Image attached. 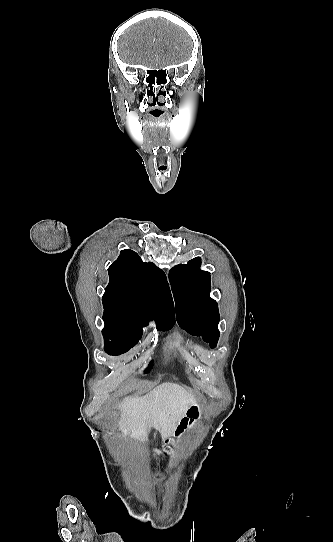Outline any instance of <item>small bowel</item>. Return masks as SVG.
<instances>
[{"instance_id": "small-bowel-1", "label": "small bowel", "mask_w": 333, "mask_h": 542, "mask_svg": "<svg viewBox=\"0 0 333 542\" xmlns=\"http://www.w3.org/2000/svg\"><path fill=\"white\" fill-rule=\"evenodd\" d=\"M200 415V409L197 406L189 407L184 416L178 420L173 430L174 443L178 444L192 429L194 419Z\"/></svg>"}]
</instances>
